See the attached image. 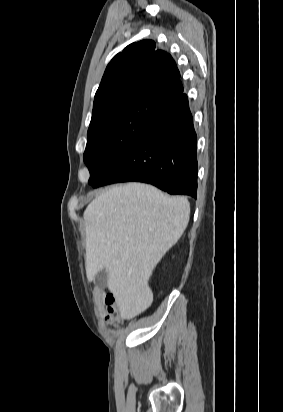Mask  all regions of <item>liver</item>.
<instances>
[{
	"instance_id": "6515ba94",
	"label": "liver",
	"mask_w": 283,
	"mask_h": 412,
	"mask_svg": "<svg viewBox=\"0 0 283 412\" xmlns=\"http://www.w3.org/2000/svg\"><path fill=\"white\" fill-rule=\"evenodd\" d=\"M189 215L187 198L142 183L111 187L87 206L86 275L92 281L106 269L121 318L131 319L152 303L150 276L184 233Z\"/></svg>"
}]
</instances>
